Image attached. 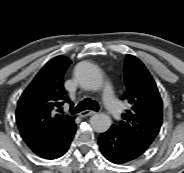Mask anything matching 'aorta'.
<instances>
[{
    "label": "aorta",
    "instance_id": "aorta-1",
    "mask_svg": "<svg viewBox=\"0 0 184 173\" xmlns=\"http://www.w3.org/2000/svg\"><path fill=\"white\" fill-rule=\"evenodd\" d=\"M76 76L82 87L98 90L103 84V78L98 68L89 62L81 63L76 69ZM112 124L108 114L98 113L90 118V125L99 133L106 132Z\"/></svg>",
    "mask_w": 184,
    "mask_h": 173
}]
</instances>
